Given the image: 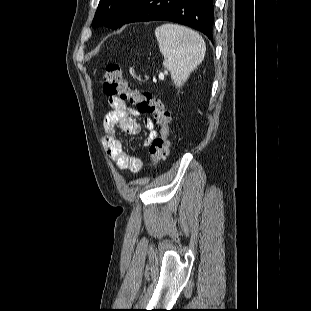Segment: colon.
I'll return each mask as SVG.
<instances>
[{"instance_id": "1", "label": "colon", "mask_w": 311, "mask_h": 311, "mask_svg": "<svg viewBox=\"0 0 311 311\" xmlns=\"http://www.w3.org/2000/svg\"><path fill=\"white\" fill-rule=\"evenodd\" d=\"M103 91L108 98L119 99L136 105L140 113H149L159 126V135L149 147V163L154 167L164 160L169 152V123L171 115L160 100L150 92H139L128 86L121 67L116 63L106 65L102 75Z\"/></svg>"}]
</instances>
